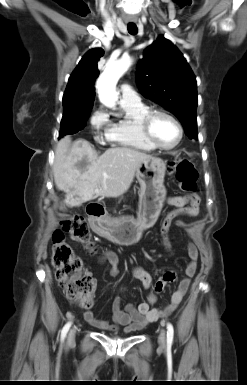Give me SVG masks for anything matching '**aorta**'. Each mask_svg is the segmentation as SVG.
Listing matches in <instances>:
<instances>
[{"instance_id": "aorta-1", "label": "aorta", "mask_w": 247, "mask_h": 385, "mask_svg": "<svg viewBox=\"0 0 247 385\" xmlns=\"http://www.w3.org/2000/svg\"><path fill=\"white\" fill-rule=\"evenodd\" d=\"M133 60L130 57H124L116 61H109L103 73L96 82L99 100L106 107L115 109L118 100L116 85L119 79L132 65Z\"/></svg>"}]
</instances>
